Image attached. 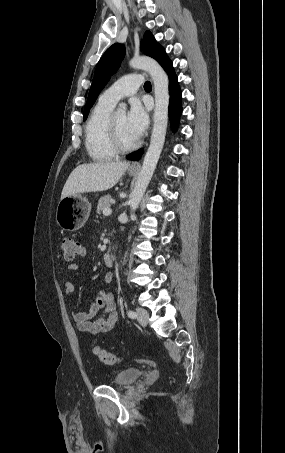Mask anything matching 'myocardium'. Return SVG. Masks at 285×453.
Here are the masks:
<instances>
[{
	"mask_svg": "<svg viewBox=\"0 0 285 453\" xmlns=\"http://www.w3.org/2000/svg\"><path fill=\"white\" fill-rule=\"evenodd\" d=\"M109 138L112 147L117 153H127L133 151L140 145V141L138 139L132 144L123 143L115 122V115H111L109 119Z\"/></svg>",
	"mask_w": 285,
	"mask_h": 453,
	"instance_id": "myocardium-1",
	"label": "myocardium"
}]
</instances>
